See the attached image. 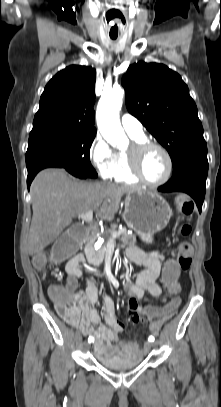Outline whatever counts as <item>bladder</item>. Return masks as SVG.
<instances>
[{
	"mask_svg": "<svg viewBox=\"0 0 221 407\" xmlns=\"http://www.w3.org/2000/svg\"><path fill=\"white\" fill-rule=\"evenodd\" d=\"M95 357L97 362L101 366L115 371L127 370L138 367L143 361L142 355L132 359H125L122 357L106 356L103 354L96 353Z\"/></svg>",
	"mask_w": 221,
	"mask_h": 407,
	"instance_id": "obj_1",
	"label": "bladder"
}]
</instances>
